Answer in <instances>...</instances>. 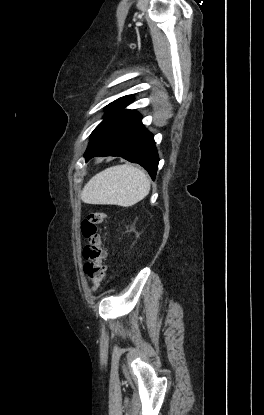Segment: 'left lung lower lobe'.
<instances>
[{
	"label": "left lung lower lobe",
	"mask_w": 264,
	"mask_h": 415,
	"mask_svg": "<svg viewBox=\"0 0 264 415\" xmlns=\"http://www.w3.org/2000/svg\"><path fill=\"white\" fill-rule=\"evenodd\" d=\"M130 97L107 110L104 120L94 129L85 152L86 161L95 156H121L143 166L154 180L158 154L153 135L144 127L135 110H125Z\"/></svg>",
	"instance_id": "0a47b994"
}]
</instances>
